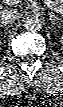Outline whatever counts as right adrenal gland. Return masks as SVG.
<instances>
[{
	"label": "right adrenal gland",
	"instance_id": "right-adrenal-gland-1",
	"mask_svg": "<svg viewBox=\"0 0 63 107\" xmlns=\"http://www.w3.org/2000/svg\"><path fill=\"white\" fill-rule=\"evenodd\" d=\"M0 27L3 28V29H5V30H7L9 28L8 26H5V25L4 26L1 25Z\"/></svg>",
	"mask_w": 63,
	"mask_h": 107
}]
</instances>
